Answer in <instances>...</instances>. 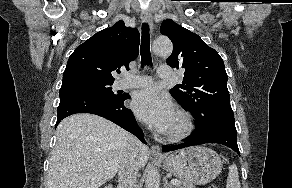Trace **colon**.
<instances>
[{
    "label": "colon",
    "instance_id": "1",
    "mask_svg": "<svg viewBox=\"0 0 292 188\" xmlns=\"http://www.w3.org/2000/svg\"><path fill=\"white\" fill-rule=\"evenodd\" d=\"M209 188H218V187H216V186H212V187H209Z\"/></svg>",
    "mask_w": 292,
    "mask_h": 188
}]
</instances>
